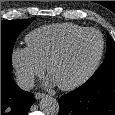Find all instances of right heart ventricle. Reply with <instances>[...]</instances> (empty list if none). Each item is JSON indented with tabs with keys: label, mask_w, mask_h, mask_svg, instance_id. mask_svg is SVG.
Returning <instances> with one entry per match:
<instances>
[{
	"label": "right heart ventricle",
	"mask_w": 115,
	"mask_h": 115,
	"mask_svg": "<svg viewBox=\"0 0 115 115\" xmlns=\"http://www.w3.org/2000/svg\"><path fill=\"white\" fill-rule=\"evenodd\" d=\"M85 27L73 23H54L38 27L25 37L27 49L43 66L72 35Z\"/></svg>",
	"instance_id": "obj_1"
}]
</instances>
